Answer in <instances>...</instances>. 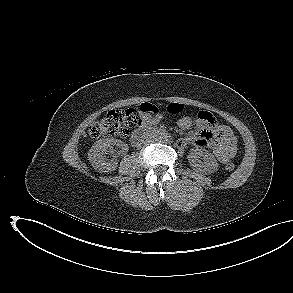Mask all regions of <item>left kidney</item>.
I'll return each mask as SVG.
<instances>
[{"label": "left kidney", "instance_id": "left-kidney-1", "mask_svg": "<svg viewBox=\"0 0 293 293\" xmlns=\"http://www.w3.org/2000/svg\"><path fill=\"white\" fill-rule=\"evenodd\" d=\"M188 160L190 165L198 172L211 174L217 171L218 163L213 154L206 149H191Z\"/></svg>", "mask_w": 293, "mask_h": 293}]
</instances>
